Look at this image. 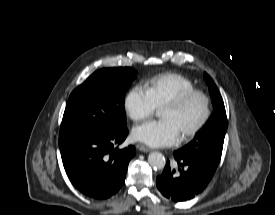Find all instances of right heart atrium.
<instances>
[{
	"mask_svg": "<svg viewBox=\"0 0 275 215\" xmlns=\"http://www.w3.org/2000/svg\"><path fill=\"white\" fill-rule=\"evenodd\" d=\"M124 107L133 121H143L150 117L157 109L147 90L136 85L125 96Z\"/></svg>",
	"mask_w": 275,
	"mask_h": 215,
	"instance_id": "right-heart-atrium-1",
	"label": "right heart atrium"
}]
</instances>
